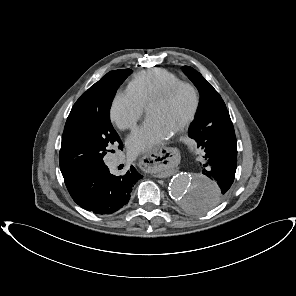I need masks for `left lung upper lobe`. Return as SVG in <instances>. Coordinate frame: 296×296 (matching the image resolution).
I'll return each mask as SVG.
<instances>
[{"label":"left lung upper lobe","mask_w":296,"mask_h":296,"mask_svg":"<svg viewBox=\"0 0 296 296\" xmlns=\"http://www.w3.org/2000/svg\"><path fill=\"white\" fill-rule=\"evenodd\" d=\"M183 72L194 83L200 93V103L195 119L189 127V136L197 142L200 147L201 131L210 126L219 116L227 111L224 101L213 86L203 76L189 66L182 67ZM193 203V202H192ZM190 204V206L192 205ZM207 205V204H206ZM189 206V207H190Z\"/></svg>","instance_id":"5c2ea615"}]
</instances>
